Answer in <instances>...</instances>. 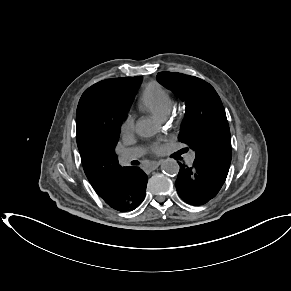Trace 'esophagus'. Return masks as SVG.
I'll list each match as a JSON object with an SVG mask.
<instances>
[{"label":"esophagus","instance_id":"obj_1","mask_svg":"<svg viewBox=\"0 0 291 291\" xmlns=\"http://www.w3.org/2000/svg\"><path fill=\"white\" fill-rule=\"evenodd\" d=\"M162 163V161H153L151 163H149L148 167L151 170H154L155 168H157L160 164Z\"/></svg>","mask_w":291,"mask_h":291}]
</instances>
